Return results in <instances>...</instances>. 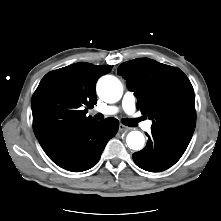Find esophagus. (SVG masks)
Instances as JSON below:
<instances>
[{
    "mask_svg": "<svg viewBox=\"0 0 221 221\" xmlns=\"http://www.w3.org/2000/svg\"><path fill=\"white\" fill-rule=\"evenodd\" d=\"M128 130H129V128L126 127V126H124L123 124H120V125H119V131H120V132L128 131Z\"/></svg>",
    "mask_w": 221,
    "mask_h": 221,
    "instance_id": "esophagus-1",
    "label": "esophagus"
}]
</instances>
